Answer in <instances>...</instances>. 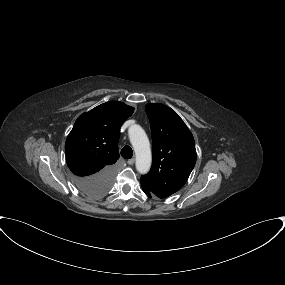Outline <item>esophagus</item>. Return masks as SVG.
<instances>
[{
    "label": "esophagus",
    "instance_id": "esophagus-1",
    "mask_svg": "<svg viewBox=\"0 0 285 285\" xmlns=\"http://www.w3.org/2000/svg\"><path fill=\"white\" fill-rule=\"evenodd\" d=\"M134 162H135V159H134V158H131V159H129V160L127 161V163H128L129 165H133Z\"/></svg>",
    "mask_w": 285,
    "mask_h": 285
}]
</instances>
